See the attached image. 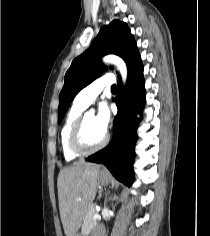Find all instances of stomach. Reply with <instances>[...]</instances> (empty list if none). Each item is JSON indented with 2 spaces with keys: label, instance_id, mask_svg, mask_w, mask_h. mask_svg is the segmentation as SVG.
I'll use <instances>...</instances> for the list:
<instances>
[{
  "label": "stomach",
  "instance_id": "0dacf381",
  "mask_svg": "<svg viewBox=\"0 0 210 236\" xmlns=\"http://www.w3.org/2000/svg\"><path fill=\"white\" fill-rule=\"evenodd\" d=\"M98 181L101 184H107L111 181V177L107 174L100 173L99 176H98ZM75 236H79V235H75Z\"/></svg>",
  "mask_w": 210,
  "mask_h": 236
}]
</instances>
